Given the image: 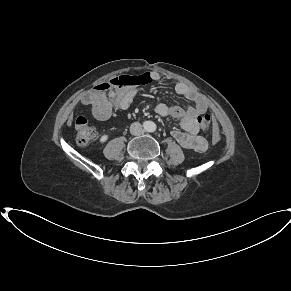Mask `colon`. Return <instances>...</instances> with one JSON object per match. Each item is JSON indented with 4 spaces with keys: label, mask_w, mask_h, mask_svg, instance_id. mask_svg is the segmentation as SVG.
<instances>
[{
    "label": "colon",
    "mask_w": 291,
    "mask_h": 291,
    "mask_svg": "<svg viewBox=\"0 0 291 291\" xmlns=\"http://www.w3.org/2000/svg\"><path fill=\"white\" fill-rule=\"evenodd\" d=\"M140 79L135 76L121 75L114 77L110 80L99 83L95 86L93 93L97 99L103 98L106 96V92L112 88H126L129 87ZM85 105H89L84 103ZM198 123L201 129L204 132H209L213 126L212 117L209 114L202 115L198 118ZM75 130H76V141L80 145H87L92 142L96 137L95 128L89 123L88 119L85 116H78L75 121ZM214 138V142H216Z\"/></svg>",
    "instance_id": "5ec220e1"
}]
</instances>
